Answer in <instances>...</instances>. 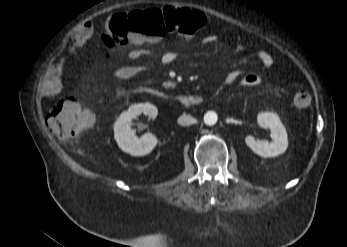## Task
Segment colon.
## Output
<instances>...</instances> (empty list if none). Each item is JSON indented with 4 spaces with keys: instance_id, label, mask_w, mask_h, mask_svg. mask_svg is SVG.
<instances>
[{
    "instance_id": "5ec220e1",
    "label": "colon",
    "mask_w": 347,
    "mask_h": 247,
    "mask_svg": "<svg viewBox=\"0 0 347 247\" xmlns=\"http://www.w3.org/2000/svg\"><path fill=\"white\" fill-rule=\"evenodd\" d=\"M206 23L205 15L187 8L165 7L143 11L114 14L106 25L103 44L107 47L125 45L130 40L151 39L157 41L167 33L191 35ZM297 109H306L311 104L308 90L297 86L293 96ZM50 131L60 139H72L93 125L91 113L71 97L59 99L48 115Z\"/></svg>"
}]
</instances>
